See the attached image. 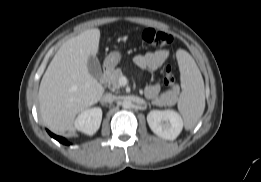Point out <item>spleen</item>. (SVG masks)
Returning <instances> with one entry per match:
<instances>
[{
  "label": "spleen",
  "instance_id": "1",
  "mask_svg": "<svg viewBox=\"0 0 261 182\" xmlns=\"http://www.w3.org/2000/svg\"><path fill=\"white\" fill-rule=\"evenodd\" d=\"M176 57L183 84L178 109L183 116L185 128L191 130L196 126L205 109L204 81L196 62L187 51L179 49Z\"/></svg>",
  "mask_w": 261,
  "mask_h": 182
}]
</instances>
